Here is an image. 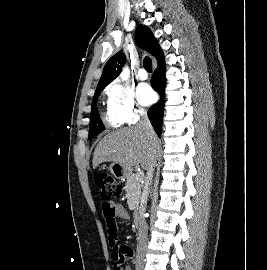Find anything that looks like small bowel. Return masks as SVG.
Instances as JSON below:
<instances>
[{"label":"small bowel","mask_w":267,"mask_h":270,"mask_svg":"<svg viewBox=\"0 0 267 270\" xmlns=\"http://www.w3.org/2000/svg\"><path fill=\"white\" fill-rule=\"evenodd\" d=\"M103 215L106 221L107 235L109 238L110 247L113 248L111 258L114 255H118L121 259L126 258L132 260L134 257V252L132 248L126 244L120 246L116 245L117 238V226L115 218H126L127 211L126 209L118 202H104L102 205ZM122 270V269H121ZM125 270H131L130 266H127Z\"/></svg>","instance_id":"c3829d8e"}]
</instances>
